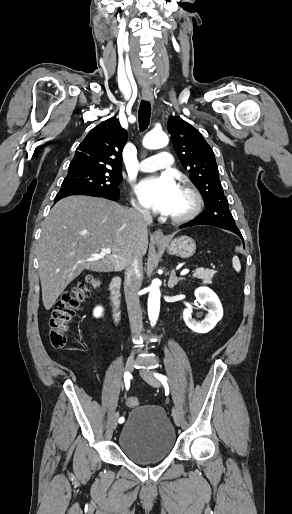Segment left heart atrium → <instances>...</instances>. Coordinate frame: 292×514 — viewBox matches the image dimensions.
Returning a JSON list of instances; mask_svg holds the SVG:
<instances>
[{
  "label": "left heart atrium",
  "instance_id": "1",
  "mask_svg": "<svg viewBox=\"0 0 292 514\" xmlns=\"http://www.w3.org/2000/svg\"><path fill=\"white\" fill-rule=\"evenodd\" d=\"M179 193V184L168 173L149 177L137 187V194L144 206L160 213L173 211Z\"/></svg>",
  "mask_w": 292,
  "mask_h": 514
}]
</instances>
